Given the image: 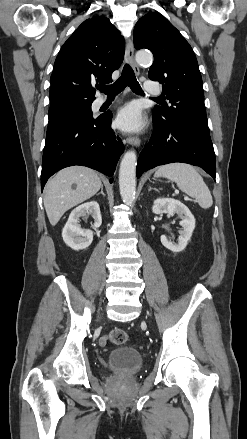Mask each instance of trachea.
Returning a JSON list of instances; mask_svg holds the SVG:
<instances>
[{
    "instance_id": "1",
    "label": "trachea",
    "mask_w": 247,
    "mask_h": 439,
    "mask_svg": "<svg viewBox=\"0 0 247 439\" xmlns=\"http://www.w3.org/2000/svg\"><path fill=\"white\" fill-rule=\"evenodd\" d=\"M127 86H129L136 94H143L134 71L128 64L124 66L122 74L116 82L111 85H100L99 90L108 96H114L123 91Z\"/></svg>"
}]
</instances>
